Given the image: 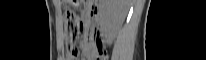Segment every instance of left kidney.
I'll return each instance as SVG.
<instances>
[{
    "instance_id": "5707ae66",
    "label": "left kidney",
    "mask_w": 206,
    "mask_h": 60,
    "mask_svg": "<svg viewBox=\"0 0 206 60\" xmlns=\"http://www.w3.org/2000/svg\"><path fill=\"white\" fill-rule=\"evenodd\" d=\"M128 13L127 0H100L101 31L110 38L119 29Z\"/></svg>"
}]
</instances>
